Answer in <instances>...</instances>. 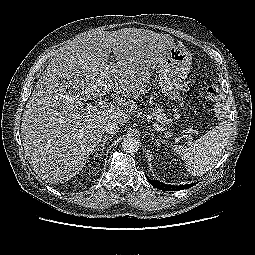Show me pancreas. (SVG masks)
I'll return each instance as SVG.
<instances>
[{"label":"pancreas","mask_w":255,"mask_h":255,"mask_svg":"<svg viewBox=\"0 0 255 255\" xmlns=\"http://www.w3.org/2000/svg\"><path fill=\"white\" fill-rule=\"evenodd\" d=\"M153 116L162 125H167L172 123V120L167 118L166 113L164 112L162 107H158L157 105L153 109Z\"/></svg>","instance_id":"cf45deb5"}]
</instances>
